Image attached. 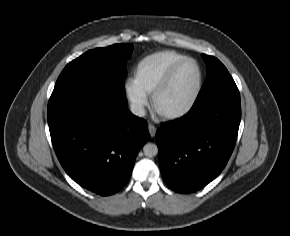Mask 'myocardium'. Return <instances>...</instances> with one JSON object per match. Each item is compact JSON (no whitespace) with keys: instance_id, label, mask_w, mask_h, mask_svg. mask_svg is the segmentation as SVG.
I'll list each match as a JSON object with an SVG mask.
<instances>
[{"instance_id":"myocardium-1","label":"myocardium","mask_w":290,"mask_h":236,"mask_svg":"<svg viewBox=\"0 0 290 236\" xmlns=\"http://www.w3.org/2000/svg\"><path fill=\"white\" fill-rule=\"evenodd\" d=\"M186 62L193 63L197 69V84H196V88H195V91H194L191 99L184 107H182L178 110H175V111H162V110H160L156 104L158 97L168 87V85L170 84L176 70ZM202 87H203V72H202V68H201L199 62L197 60H195L194 58L184 57V58L180 59L179 61H177L170 68V70L168 71V73L166 74L164 79L159 83V85L152 92L151 98H150L151 109H152L153 113L162 120H174V119L181 118V117L185 116L186 114H188L193 109V107L195 106V104H196V102L201 94Z\"/></svg>"}]
</instances>
